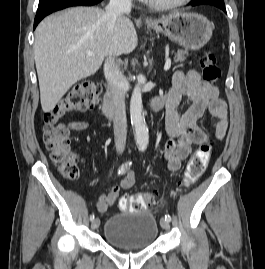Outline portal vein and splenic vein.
I'll use <instances>...</instances> for the list:
<instances>
[{"instance_id":"18ae733b","label":"portal vein and splenic vein","mask_w":265,"mask_h":269,"mask_svg":"<svg viewBox=\"0 0 265 269\" xmlns=\"http://www.w3.org/2000/svg\"><path fill=\"white\" fill-rule=\"evenodd\" d=\"M87 55H88V56H94L95 53L92 52V51H88V52H87ZM170 66H171V60H170V58L168 57V58L166 59L165 65H164V70H165V71L169 70Z\"/></svg>"}]
</instances>
